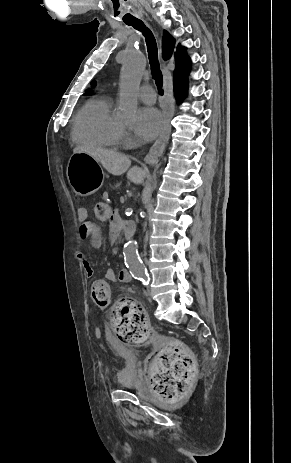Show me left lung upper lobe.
<instances>
[{
    "instance_id": "1",
    "label": "left lung upper lobe",
    "mask_w": 291,
    "mask_h": 463,
    "mask_svg": "<svg viewBox=\"0 0 291 463\" xmlns=\"http://www.w3.org/2000/svg\"><path fill=\"white\" fill-rule=\"evenodd\" d=\"M91 85H92V86H95V85H96V82H95V81H92V82H91ZM86 94L89 95V94H91V93H90L89 91H87Z\"/></svg>"
}]
</instances>
